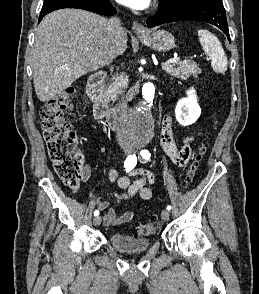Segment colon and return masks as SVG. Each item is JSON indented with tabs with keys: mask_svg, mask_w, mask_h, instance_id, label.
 <instances>
[{
	"mask_svg": "<svg viewBox=\"0 0 259 294\" xmlns=\"http://www.w3.org/2000/svg\"><path fill=\"white\" fill-rule=\"evenodd\" d=\"M73 94V88L57 93L44 104L40 115L44 138L54 170L63 183L75 190L79 188L82 179L83 157L77 147V136L69 122L64 119V110L69 105ZM210 137L211 135L208 134L198 146L182 180V187L186 188L192 183L207 152ZM158 228V221L151 218L137 225L136 235L150 236L155 234Z\"/></svg>",
	"mask_w": 259,
	"mask_h": 294,
	"instance_id": "colon-1",
	"label": "colon"
}]
</instances>
